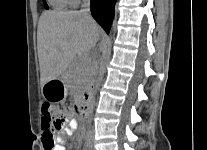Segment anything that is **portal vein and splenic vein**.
<instances>
[{
    "label": "portal vein and splenic vein",
    "instance_id": "1",
    "mask_svg": "<svg viewBox=\"0 0 207 150\" xmlns=\"http://www.w3.org/2000/svg\"><path fill=\"white\" fill-rule=\"evenodd\" d=\"M88 61H90L89 58H86V59L83 60L84 63H87Z\"/></svg>",
    "mask_w": 207,
    "mask_h": 150
}]
</instances>
